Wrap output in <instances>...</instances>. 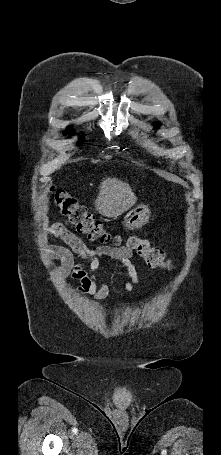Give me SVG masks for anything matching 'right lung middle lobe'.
Wrapping results in <instances>:
<instances>
[{"mask_svg": "<svg viewBox=\"0 0 221 455\" xmlns=\"http://www.w3.org/2000/svg\"><path fill=\"white\" fill-rule=\"evenodd\" d=\"M69 132L72 133L71 128H69Z\"/></svg>", "mask_w": 221, "mask_h": 455, "instance_id": "right-lung-middle-lobe-1", "label": "right lung middle lobe"}]
</instances>
